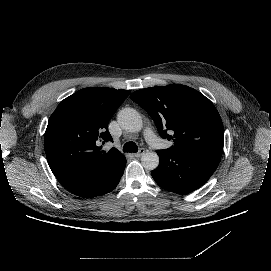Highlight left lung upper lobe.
<instances>
[{
	"instance_id": "5c2ea615",
	"label": "left lung upper lobe",
	"mask_w": 271,
	"mask_h": 271,
	"mask_svg": "<svg viewBox=\"0 0 271 271\" xmlns=\"http://www.w3.org/2000/svg\"><path fill=\"white\" fill-rule=\"evenodd\" d=\"M130 98L147 111L162 138L174 141L172 150L222 156V120L212 102L197 90L172 84L140 89Z\"/></svg>"
}]
</instances>
